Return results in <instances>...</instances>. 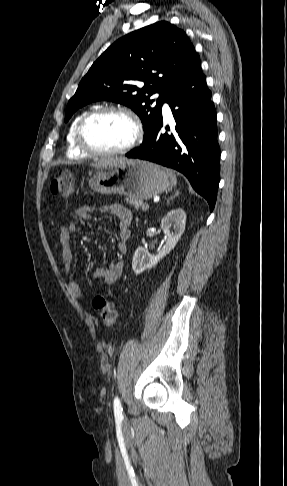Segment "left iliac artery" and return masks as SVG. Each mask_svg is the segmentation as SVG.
Returning a JSON list of instances; mask_svg holds the SVG:
<instances>
[{
  "instance_id": "44dca946",
  "label": "left iliac artery",
  "mask_w": 287,
  "mask_h": 486,
  "mask_svg": "<svg viewBox=\"0 0 287 486\" xmlns=\"http://www.w3.org/2000/svg\"><path fill=\"white\" fill-rule=\"evenodd\" d=\"M113 407H114L115 417L122 418V416H123L122 406H121V402H120L118 397H115Z\"/></svg>"
}]
</instances>
